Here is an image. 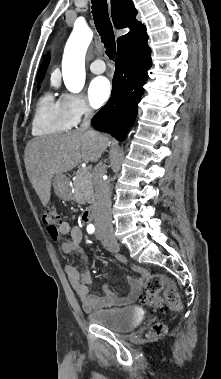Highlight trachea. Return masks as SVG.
<instances>
[{"label": "trachea", "mask_w": 221, "mask_h": 379, "mask_svg": "<svg viewBox=\"0 0 221 379\" xmlns=\"http://www.w3.org/2000/svg\"><path fill=\"white\" fill-rule=\"evenodd\" d=\"M93 20L106 48V54L114 60L116 53L115 35L108 14L107 0H91Z\"/></svg>", "instance_id": "3493384b"}]
</instances>
